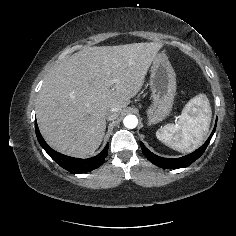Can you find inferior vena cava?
I'll use <instances>...</instances> for the list:
<instances>
[{
    "label": "inferior vena cava",
    "mask_w": 236,
    "mask_h": 236,
    "mask_svg": "<svg viewBox=\"0 0 236 236\" xmlns=\"http://www.w3.org/2000/svg\"><path fill=\"white\" fill-rule=\"evenodd\" d=\"M117 112H118V109H117V108H115V107L111 108V109L107 112V116H106L107 120L112 121V120L116 119L117 116H118V115H117Z\"/></svg>",
    "instance_id": "602c4592"
}]
</instances>
